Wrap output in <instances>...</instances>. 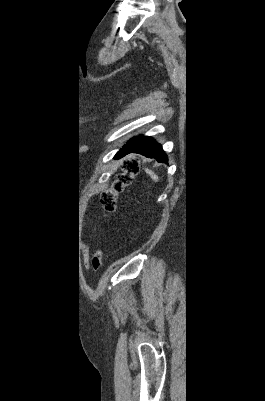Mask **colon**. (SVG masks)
I'll return each instance as SVG.
<instances>
[{"label": "colon", "instance_id": "5ec220e1", "mask_svg": "<svg viewBox=\"0 0 265 401\" xmlns=\"http://www.w3.org/2000/svg\"><path fill=\"white\" fill-rule=\"evenodd\" d=\"M138 171L139 166L134 159L125 162L121 173L113 182L112 186L101 195L100 202L107 213H113L115 211L119 194L132 183ZM102 258V252L97 250L92 259V268L95 271L101 268Z\"/></svg>", "mask_w": 265, "mask_h": 401}]
</instances>
